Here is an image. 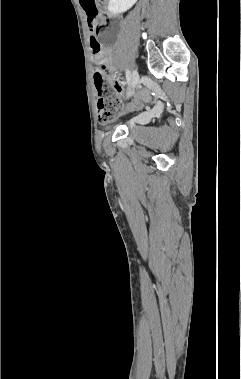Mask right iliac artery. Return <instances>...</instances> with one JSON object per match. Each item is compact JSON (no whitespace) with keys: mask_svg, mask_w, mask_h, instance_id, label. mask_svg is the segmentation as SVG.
Segmentation results:
<instances>
[{"mask_svg":"<svg viewBox=\"0 0 241 379\" xmlns=\"http://www.w3.org/2000/svg\"><path fill=\"white\" fill-rule=\"evenodd\" d=\"M126 79H127V83L129 84L131 81V73L128 69L126 70Z\"/></svg>","mask_w":241,"mask_h":379,"instance_id":"obj_1","label":"right iliac artery"}]
</instances>
